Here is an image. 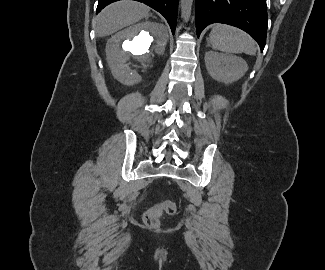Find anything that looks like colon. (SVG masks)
<instances>
[{"label": "colon", "instance_id": "colon-1", "mask_svg": "<svg viewBox=\"0 0 325 270\" xmlns=\"http://www.w3.org/2000/svg\"><path fill=\"white\" fill-rule=\"evenodd\" d=\"M177 209L176 203L171 200H163L150 207L144 214V222L147 226L155 228L160 223V217L166 213L173 215Z\"/></svg>", "mask_w": 325, "mask_h": 270}]
</instances>
